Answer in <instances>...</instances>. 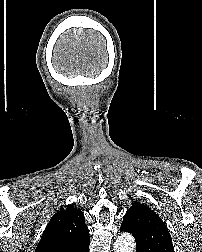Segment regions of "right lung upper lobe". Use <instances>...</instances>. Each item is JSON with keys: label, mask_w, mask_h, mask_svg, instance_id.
I'll list each match as a JSON object with an SVG mask.
<instances>
[{"label": "right lung upper lobe", "mask_w": 202, "mask_h": 252, "mask_svg": "<svg viewBox=\"0 0 202 252\" xmlns=\"http://www.w3.org/2000/svg\"><path fill=\"white\" fill-rule=\"evenodd\" d=\"M89 231L81 210L61 208L47 224L35 252H87Z\"/></svg>", "instance_id": "obj_1"}]
</instances>
